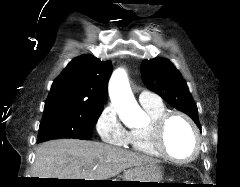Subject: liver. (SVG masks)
Returning a JSON list of instances; mask_svg holds the SVG:
<instances>
[{
	"mask_svg": "<svg viewBox=\"0 0 240 187\" xmlns=\"http://www.w3.org/2000/svg\"><path fill=\"white\" fill-rule=\"evenodd\" d=\"M157 162L100 142L57 139L37 148L32 177L108 180L126 169Z\"/></svg>",
	"mask_w": 240,
	"mask_h": 187,
	"instance_id": "obj_1",
	"label": "liver"
}]
</instances>
